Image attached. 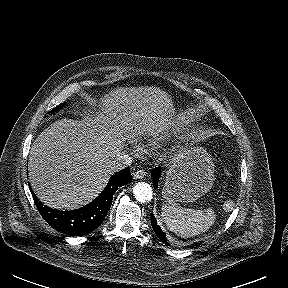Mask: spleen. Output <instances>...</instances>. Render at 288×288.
Listing matches in <instances>:
<instances>
[{
	"label": "spleen",
	"mask_w": 288,
	"mask_h": 288,
	"mask_svg": "<svg viewBox=\"0 0 288 288\" xmlns=\"http://www.w3.org/2000/svg\"><path fill=\"white\" fill-rule=\"evenodd\" d=\"M161 216L168 229L182 238H189L207 231L215 221L212 209L205 211L183 208L175 203H164Z\"/></svg>",
	"instance_id": "3e777b00"
}]
</instances>
